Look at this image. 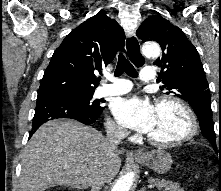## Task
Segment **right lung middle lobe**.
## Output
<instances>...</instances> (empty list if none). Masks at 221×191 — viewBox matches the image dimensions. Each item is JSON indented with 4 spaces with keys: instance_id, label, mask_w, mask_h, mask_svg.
Here are the masks:
<instances>
[{
    "instance_id": "1",
    "label": "right lung middle lobe",
    "mask_w": 221,
    "mask_h": 191,
    "mask_svg": "<svg viewBox=\"0 0 221 191\" xmlns=\"http://www.w3.org/2000/svg\"><path fill=\"white\" fill-rule=\"evenodd\" d=\"M93 91L84 92V91H66L63 94L68 95L74 102H76L80 109L86 113H99L101 112L104 107L100 106V101L95 100L91 102V98L93 96Z\"/></svg>"
}]
</instances>
